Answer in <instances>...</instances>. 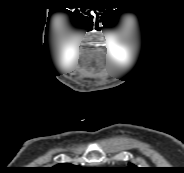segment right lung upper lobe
<instances>
[{
    "label": "right lung upper lobe",
    "instance_id": "obj_1",
    "mask_svg": "<svg viewBox=\"0 0 184 173\" xmlns=\"http://www.w3.org/2000/svg\"><path fill=\"white\" fill-rule=\"evenodd\" d=\"M77 167L69 163H61L51 167L49 173H73Z\"/></svg>",
    "mask_w": 184,
    "mask_h": 173
}]
</instances>
